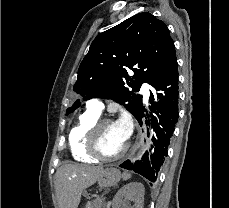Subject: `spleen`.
Segmentation results:
<instances>
[{"label":"spleen","instance_id":"1","mask_svg":"<svg viewBox=\"0 0 229 208\" xmlns=\"http://www.w3.org/2000/svg\"><path fill=\"white\" fill-rule=\"evenodd\" d=\"M131 178L130 174H123V180H129Z\"/></svg>","mask_w":229,"mask_h":208}]
</instances>
